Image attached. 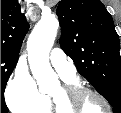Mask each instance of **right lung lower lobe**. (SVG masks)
I'll return each instance as SVG.
<instances>
[{"mask_svg":"<svg viewBox=\"0 0 121 113\" xmlns=\"http://www.w3.org/2000/svg\"><path fill=\"white\" fill-rule=\"evenodd\" d=\"M1 113H7V111L1 110Z\"/></svg>","mask_w":121,"mask_h":113,"instance_id":"1","label":"right lung lower lobe"}]
</instances>
